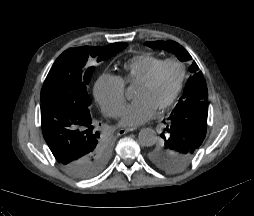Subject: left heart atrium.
I'll use <instances>...</instances> for the list:
<instances>
[{"instance_id":"1","label":"left heart atrium","mask_w":254,"mask_h":216,"mask_svg":"<svg viewBox=\"0 0 254 216\" xmlns=\"http://www.w3.org/2000/svg\"><path fill=\"white\" fill-rule=\"evenodd\" d=\"M156 114V108L147 100L137 99L124 109L120 124L124 127H136L146 123Z\"/></svg>"}]
</instances>
